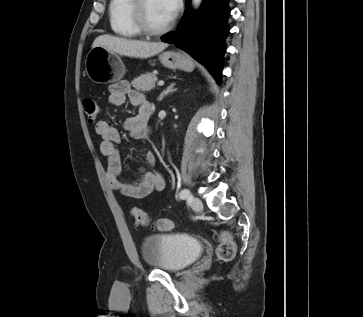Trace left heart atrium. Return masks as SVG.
Here are the masks:
<instances>
[{
    "label": "left heart atrium",
    "mask_w": 363,
    "mask_h": 317,
    "mask_svg": "<svg viewBox=\"0 0 363 317\" xmlns=\"http://www.w3.org/2000/svg\"><path fill=\"white\" fill-rule=\"evenodd\" d=\"M162 1L166 9L167 17L171 21L175 17L179 9L180 0H162Z\"/></svg>",
    "instance_id": "left-heart-atrium-1"
}]
</instances>
